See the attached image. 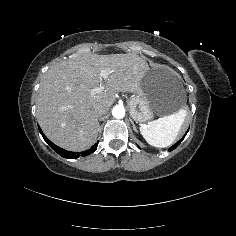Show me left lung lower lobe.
Segmentation results:
<instances>
[{
    "label": "left lung lower lobe",
    "mask_w": 236,
    "mask_h": 236,
    "mask_svg": "<svg viewBox=\"0 0 236 236\" xmlns=\"http://www.w3.org/2000/svg\"><path fill=\"white\" fill-rule=\"evenodd\" d=\"M187 132H188V131H187ZM187 132L185 133V135L183 136V138H181L176 144H174L173 146H171V147L169 148V151L174 150V149L182 142V140L185 138Z\"/></svg>",
    "instance_id": "0a47b994"
}]
</instances>
